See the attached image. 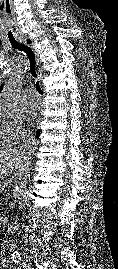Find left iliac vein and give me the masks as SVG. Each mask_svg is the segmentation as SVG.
Wrapping results in <instances>:
<instances>
[{"label":"left iliac vein","instance_id":"4c4485c4","mask_svg":"<svg viewBox=\"0 0 118 269\" xmlns=\"http://www.w3.org/2000/svg\"><path fill=\"white\" fill-rule=\"evenodd\" d=\"M24 268L25 269H32L31 266H29V264H24Z\"/></svg>","mask_w":118,"mask_h":269}]
</instances>
